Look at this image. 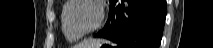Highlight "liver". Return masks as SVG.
Returning a JSON list of instances; mask_svg holds the SVG:
<instances>
[{
  "instance_id": "obj_1",
  "label": "liver",
  "mask_w": 213,
  "mask_h": 48,
  "mask_svg": "<svg viewBox=\"0 0 213 48\" xmlns=\"http://www.w3.org/2000/svg\"><path fill=\"white\" fill-rule=\"evenodd\" d=\"M95 43H97L96 40H85L82 43L78 45L79 48H88L90 46H93Z\"/></svg>"
}]
</instances>
